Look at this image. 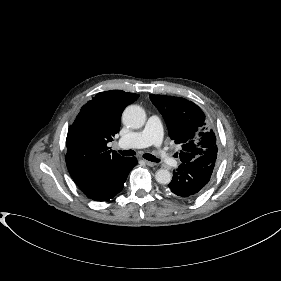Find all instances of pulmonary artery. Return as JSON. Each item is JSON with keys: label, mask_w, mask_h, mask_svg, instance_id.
Masks as SVG:
<instances>
[{"label": "pulmonary artery", "mask_w": 281, "mask_h": 281, "mask_svg": "<svg viewBox=\"0 0 281 281\" xmlns=\"http://www.w3.org/2000/svg\"><path fill=\"white\" fill-rule=\"evenodd\" d=\"M162 138L161 119L157 115H152L148 118L145 127L141 131L122 136L118 140V146L121 148H142L149 145H159ZM160 157L167 164L174 163L172 157L165 151L160 152Z\"/></svg>", "instance_id": "pulmonary-artery-1"}]
</instances>
